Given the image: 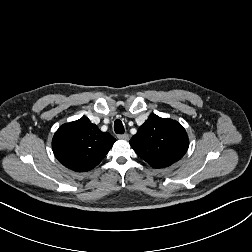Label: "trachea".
<instances>
[{
    "label": "trachea",
    "instance_id": "3493384b",
    "mask_svg": "<svg viewBox=\"0 0 252 252\" xmlns=\"http://www.w3.org/2000/svg\"><path fill=\"white\" fill-rule=\"evenodd\" d=\"M114 131L116 134H124V126L119 119L114 122Z\"/></svg>",
    "mask_w": 252,
    "mask_h": 252
}]
</instances>
